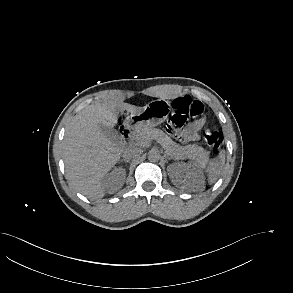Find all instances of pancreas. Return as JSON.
<instances>
[{"mask_svg":"<svg viewBox=\"0 0 293 293\" xmlns=\"http://www.w3.org/2000/svg\"><path fill=\"white\" fill-rule=\"evenodd\" d=\"M157 138L166 153L173 159H190L201 165L208 160V152L196 144L181 146L172 141L162 130L150 127H137L132 133V142L136 146H147L150 141Z\"/></svg>","mask_w":293,"mask_h":293,"instance_id":"pancreas-1","label":"pancreas"}]
</instances>
